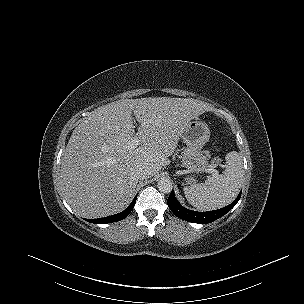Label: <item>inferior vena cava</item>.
<instances>
[{"instance_id": "602c4592", "label": "inferior vena cava", "mask_w": 304, "mask_h": 304, "mask_svg": "<svg viewBox=\"0 0 304 304\" xmlns=\"http://www.w3.org/2000/svg\"><path fill=\"white\" fill-rule=\"evenodd\" d=\"M136 177L139 179V180H146L148 178L151 177V173L148 169L146 168H138L136 169Z\"/></svg>"}]
</instances>
